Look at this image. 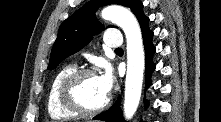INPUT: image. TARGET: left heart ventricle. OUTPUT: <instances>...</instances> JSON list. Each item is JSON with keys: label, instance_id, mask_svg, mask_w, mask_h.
I'll list each match as a JSON object with an SVG mask.
<instances>
[{"label": "left heart ventricle", "instance_id": "1", "mask_svg": "<svg viewBox=\"0 0 221 122\" xmlns=\"http://www.w3.org/2000/svg\"><path fill=\"white\" fill-rule=\"evenodd\" d=\"M77 100L87 108L99 106L107 97L103 92L98 76H86L75 87Z\"/></svg>", "mask_w": 221, "mask_h": 122}]
</instances>
